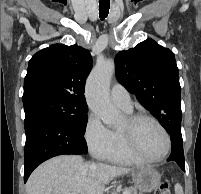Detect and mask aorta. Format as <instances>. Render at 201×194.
<instances>
[{"label":"aorta","instance_id":"aorta-1","mask_svg":"<svg viewBox=\"0 0 201 194\" xmlns=\"http://www.w3.org/2000/svg\"><path fill=\"white\" fill-rule=\"evenodd\" d=\"M114 71L113 60H98L86 82L88 106L108 126H116L121 117L109 99V86Z\"/></svg>","mask_w":201,"mask_h":194}]
</instances>
